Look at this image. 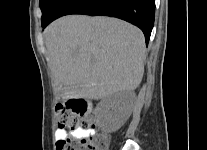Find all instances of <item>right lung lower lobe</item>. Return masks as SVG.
Here are the masks:
<instances>
[{"label": "right lung lower lobe", "instance_id": "right-lung-lower-lobe-1", "mask_svg": "<svg viewBox=\"0 0 207 150\" xmlns=\"http://www.w3.org/2000/svg\"><path fill=\"white\" fill-rule=\"evenodd\" d=\"M68 14L102 15L126 20L143 31L148 44L154 25L155 0H63L42 27Z\"/></svg>", "mask_w": 207, "mask_h": 150}]
</instances>
